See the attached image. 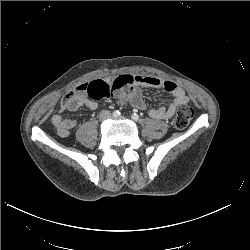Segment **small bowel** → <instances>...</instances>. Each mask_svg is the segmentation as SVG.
<instances>
[{"instance_id": "c3829d8e", "label": "small bowel", "mask_w": 250, "mask_h": 250, "mask_svg": "<svg viewBox=\"0 0 250 250\" xmlns=\"http://www.w3.org/2000/svg\"><path fill=\"white\" fill-rule=\"evenodd\" d=\"M104 80L113 88L112 96L121 102H130L139 110L146 109L141 91L142 87L163 88L165 91L170 93L174 97L171 104L149 110V116L153 119H169L175 114L178 106L184 105L189 101L185 91L175 82L170 80H163L148 75L132 74H121ZM87 85L88 84H81L77 88L75 99L72 103L65 106L66 109L74 111L81 106H85L90 110H95L98 107V103L94 99L88 98L86 91ZM51 121L56 128L58 135L63 138L69 136L71 130L76 125L74 120L64 119L59 114L53 115Z\"/></svg>"}]
</instances>
